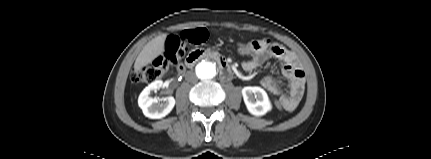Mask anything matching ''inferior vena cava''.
Instances as JSON below:
<instances>
[{"label": "inferior vena cava", "mask_w": 431, "mask_h": 159, "mask_svg": "<svg viewBox=\"0 0 431 159\" xmlns=\"http://www.w3.org/2000/svg\"><path fill=\"white\" fill-rule=\"evenodd\" d=\"M186 79L190 82H196L197 81V77L195 76V74L191 71L186 73Z\"/></svg>", "instance_id": "inferior-vena-cava-1"}]
</instances>
